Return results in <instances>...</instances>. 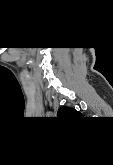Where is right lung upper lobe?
<instances>
[{
  "label": "right lung upper lobe",
  "instance_id": "obj_1",
  "mask_svg": "<svg viewBox=\"0 0 113 165\" xmlns=\"http://www.w3.org/2000/svg\"><path fill=\"white\" fill-rule=\"evenodd\" d=\"M58 115L59 116H75V115L77 116L79 114L75 109L64 106L58 110Z\"/></svg>",
  "mask_w": 113,
  "mask_h": 165
}]
</instances>
